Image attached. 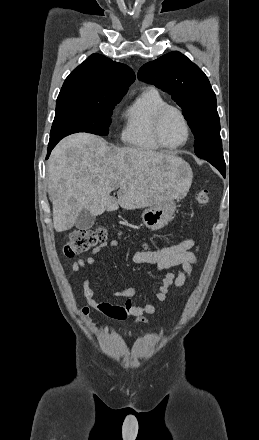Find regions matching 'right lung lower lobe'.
Returning a JSON list of instances; mask_svg holds the SVG:
<instances>
[{"instance_id":"right-lung-lower-lobe-1","label":"right lung lower lobe","mask_w":259,"mask_h":440,"mask_svg":"<svg viewBox=\"0 0 259 440\" xmlns=\"http://www.w3.org/2000/svg\"><path fill=\"white\" fill-rule=\"evenodd\" d=\"M59 141H49V145H48V154H47V158L49 157L52 149L54 148V146L58 143Z\"/></svg>"}]
</instances>
